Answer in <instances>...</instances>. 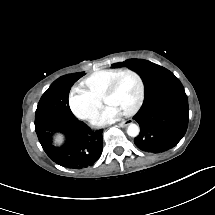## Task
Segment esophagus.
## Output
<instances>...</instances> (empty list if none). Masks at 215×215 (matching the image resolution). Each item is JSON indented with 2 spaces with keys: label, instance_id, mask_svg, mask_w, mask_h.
Masks as SVG:
<instances>
[{
  "label": "esophagus",
  "instance_id": "obj_1",
  "mask_svg": "<svg viewBox=\"0 0 215 215\" xmlns=\"http://www.w3.org/2000/svg\"><path fill=\"white\" fill-rule=\"evenodd\" d=\"M131 123H133V120L132 119H128V120H126L124 122L119 123V126L120 127H125V126H128Z\"/></svg>",
  "mask_w": 215,
  "mask_h": 215
}]
</instances>
